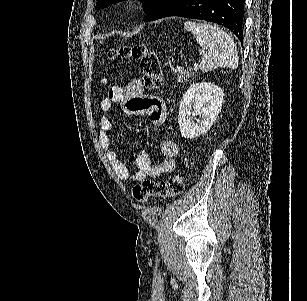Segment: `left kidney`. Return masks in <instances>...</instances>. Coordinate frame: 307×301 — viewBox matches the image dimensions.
Here are the masks:
<instances>
[{"label": "left kidney", "instance_id": "5707ae66", "mask_svg": "<svg viewBox=\"0 0 307 301\" xmlns=\"http://www.w3.org/2000/svg\"><path fill=\"white\" fill-rule=\"evenodd\" d=\"M224 90L213 82H195L184 92L178 122L184 138H196L209 130L221 112ZM199 114L200 118H196Z\"/></svg>", "mask_w": 307, "mask_h": 301}]
</instances>
